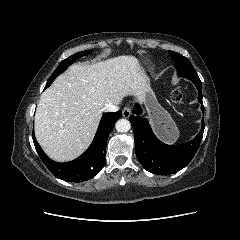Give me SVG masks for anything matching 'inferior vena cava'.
Here are the masks:
<instances>
[{"label": "inferior vena cava", "mask_w": 240, "mask_h": 240, "mask_svg": "<svg viewBox=\"0 0 240 240\" xmlns=\"http://www.w3.org/2000/svg\"><path fill=\"white\" fill-rule=\"evenodd\" d=\"M118 110V107L117 105L115 104H107L106 106L103 107L102 111H105V112H115Z\"/></svg>", "instance_id": "602c4592"}]
</instances>
